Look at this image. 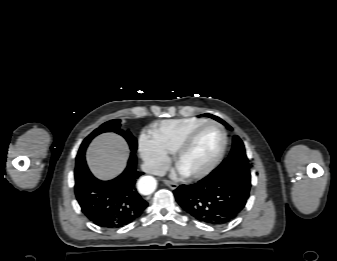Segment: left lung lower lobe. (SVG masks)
<instances>
[{
    "instance_id": "obj_1",
    "label": "left lung lower lobe",
    "mask_w": 337,
    "mask_h": 261,
    "mask_svg": "<svg viewBox=\"0 0 337 261\" xmlns=\"http://www.w3.org/2000/svg\"><path fill=\"white\" fill-rule=\"evenodd\" d=\"M179 205L190 216L208 225H224L244 208L249 191L223 175H208L198 183L174 190Z\"/></svg>"
}]
</instances>
